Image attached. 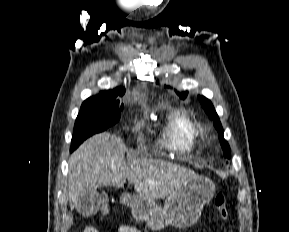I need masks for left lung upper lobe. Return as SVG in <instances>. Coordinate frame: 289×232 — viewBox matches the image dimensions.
Returning a JSON list of instances; mask_svg holds the SVG:
<instances>
[{"instance_id": "5c2ea615", "label": "left lung upper lobe", "mask_w": 289, "mask_h": 232, "mask_svg": "<svg viewBox=\"0 0 289 232\" xmlns=\"http://www.w3.org/2000/svg\"><path fill=\"white\" fill-rule=\"evenodd\" d=\"M177 94L182 98H185L187 96V92H184V93L177 92ZM199 100H200V103H201L202 107L204 108L205 112L210 116V118H212L215 121L214 126L217 129V131L219 132V139H220L221 146L223 148L224 156L227 158H230V147H229L228 143L224 140L223 128L221 126L219 117H218L211 101L208 100L204 96H199Z\"/></svg>"}]
</instances>
